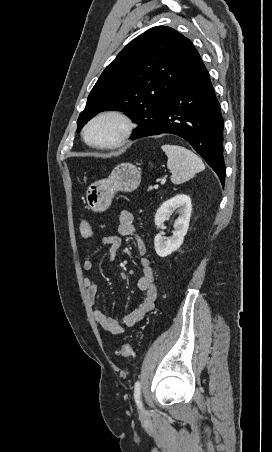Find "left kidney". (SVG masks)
<instances>
[{"mask_svg": "<svg viewBox=\"0 0 272 452\" xmlns=\"http://www.w3.org/2000/svg\"><path fill=\"white\" fill-rule=\"evenodd\" d=\"M173 208H177L179 217L174 222L173 235L170 238L157 234L154 238V247L158 256L166 257L176 251L183 243L192 211L191 198L185 194H178L163 202L155 214L154 222L157 229L161 227Z\"/></svg>", "mask_w": 272, "mask_h": 452, "instance_id": "obj_1", "label": "left kidney"}]
</instances>
